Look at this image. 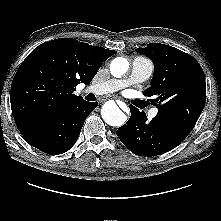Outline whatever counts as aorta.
I'll return each mask as SVG.
<instances>
[{
    "label": "aorta",
    "mask_w": 221,
    "mask_h": 221,
    "mask_svg": "<svg viewBox=\"0 0 221 221\" xmlns=\"http://www.w3.org/2000/svg\"><path fill=\"white\" fill-rule=\"evenodd\" d=\"M129 62L123 57L115 58L110 64V72L114 77H121L127 73ZM102 118L110 126L120 127L126 122V115L114 101H108L101 110Z\"/></svg>",
    "instance_id": "obj_1"
}]
</instances>
